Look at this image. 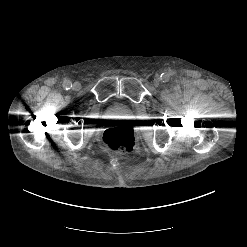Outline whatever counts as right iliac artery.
Listing matches in <instances>:
<instances>
[{
  "label": "right iliac artery",
  "mask_w": 247,
  "mask_h": 247,
  "mask_svg": "<svg viewBox=\"0 0 247 247\" xmlns=\"http://www.w3.org/2000/svg\"><path fill=\"white\" fill-rule=\"evenodd\" d=\"M63 87L64 89L69 90L72 87V83L69 80H65L63 83Z\"/></svg>",
  "instance_id": "82829eb1"
}]
</instances>
